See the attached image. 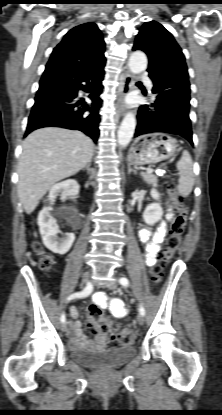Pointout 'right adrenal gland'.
<instances>
[{"mask_svg": "<svg viewBox=\"0 0 222 415\" xmlns=\"http://www.w3.org/2000/svg\"><path fill=\"white\" fill-rule=\"evenodd\" d=\"M90 165H91V163H88L87 165H86V167L83 169V170H87V172L88 173H90L92 170L90 169Z\"/></svg>", "mask_w": 222, "mask_h": 415, "instance_id": "2a0ac1e0", "label": "right adrenal gland"}]
</instances>
